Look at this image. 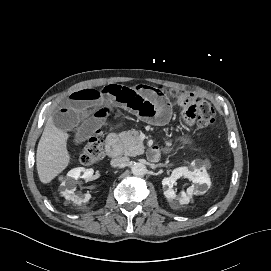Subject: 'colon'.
Returning <instances> with one entry per match:
<instances>
[{
	"label": "colon",
	"mask_w": 271,
	"mask_h": 271,
	"mask_svg": "<svg viewBox=\"0 0 271 271\" xmlns=\"http://www.w3.org/2000/svg\"><path fill=\"white\" fill-rule=\"evenodd\" d=\"M166 94L174 97L182 107L183 119L188 125H197L206 128L211 125L215 118L212 105L205 99L192 93L171 90ZM100 130H96L89 138L80 155V162L84 165L97 163L103 157Z\"/></svg>",
	"instance_id": "colon-1"
}]
</instances>
